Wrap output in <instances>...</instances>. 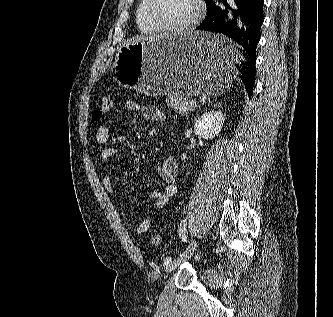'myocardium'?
<instances>
[{
  "mask_svg": "<svg viewBox=\"0 0 333 317\" xmlns=\"http://www.w3.org/2000/svg\"><path fill=\"white\" fill-rule=\"evenodd\" d=\"M194 5H195V10L192 18L190 19L189 22H187L184 25L181 26H171L168 24L163 23L160 21L154 14L153 11V5H154V0H146V15L150 22L160 31L168 32V33H173V34H186L190 31H192L197 24L199 23V20L202 16L204 5L202 0H194Z\"/></svg>",
  "mask_w": 333,
  "mask_h": 317,
  "instance_id": "myocardium-1",
  "label": "myocardium"
}]
</instances>
